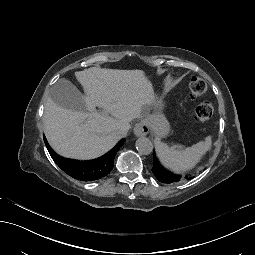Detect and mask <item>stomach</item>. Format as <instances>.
<instances>
[{"label":"stomach","mask_w":255,"mask_h":255,"mask_svg":"<svg viewBox=\"0 0 255 255\" xmlns=\"http://www.w3.org/2000/svg\"><path fill=\"white\" fill-rule=\"evenodd\" d=\"M146 95L151 97L152 99H157L159 102V113L161 115H166L170 108V103L166 100V96L164 94H160L158 90H154L153 88H148L146 90ZM161 115H153L148 118V120L142 121L144 129L150 128L158 135H164L169 130V124L166 119Z\"/></svg>","instance_id":"stomach-1"}]
</instances>
